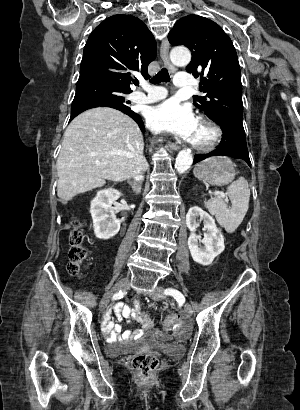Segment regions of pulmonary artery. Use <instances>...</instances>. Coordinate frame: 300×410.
Returning <instances> with one entry per match:
<instances>
[{
    "label": "pulmonary artery",
    "mask_w": 300,
    "mask_h": 410,
    "mask_svg": "<svg viewBox=\"0 0 300 410\" xmlns=\"http://www.w3.org/2000/svg\"><path fill=\"white\" fill-rule=\"evenodd\" d=\"M174 84L176 87H191L194 84V78L191 74L179 72L176 74ZM141 91H135L131 99L138 104H149L159 101L166 97L167 92L160 87H155L147 83L141 84Z\"/></svg>",
    "instance_id": "obj_1"
}]
</instances>
